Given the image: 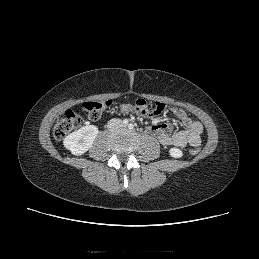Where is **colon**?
Here are the masks:
<instances>
[{
	"mask_svg": "<svg viewBox=\"0 0 259 259\" xmlns=\"http://www.w3.org/2000/svg\"><path fill=\"white\" fill-rule=\"evenodd\" d=\"M112 101H89L83 104V109L87 112L88 117L92 121L100 119L102 114L111 106ZM165 105L158 103L152 109H149L148 103L144 99H137L132 104H124L121 106L122 113L136 111L143 115L159 116L163 113ZM82 124L80 115L72 110H67L61 114L55 123L53 135L56 139L61 140L71 131L77 129ZM199 153V148L194 147L190 150V154L195 156Z\"/></svg>",
	"mask_w": 259,
	"mask_h": 259,
	"instance_id": "colon-1",
	"label": "colon"
}]
</instances>
